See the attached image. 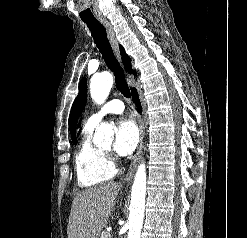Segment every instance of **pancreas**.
<instances>
[{"instance_id": "pancreas-1", "label": "pancreas", "mask_w": 247, "mask_h": 238, "mask_svg": "<svg viewBox=\"0 0 247 238\" xmlns=\"http://www.w3.org/2000/svg\"><path fill=\"white\" fill-rule=\"evenodd\" d=\"M100 238H111V235H110L109 232L103 231V232L101 233Z\"/></svg>"}]
</instances>
